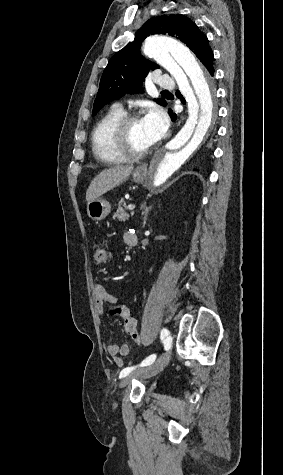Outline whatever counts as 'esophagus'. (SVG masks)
I'll use <instances>...</instances> for the list:
<instances>
[{"mask_svg":"<svg viewBox=\"0 0 283 475\" xmlns=\"http://www.w3.org/2000/svg\"><path fill=\"white\" fill-rule=\"evenodd\" d=\"M159 158V155H155L152 159V163H154L155 161H157V159Z\"/></svg>","mask_w":283,"mask_h":475,"instance_id":"34e87169","label":"esophagus"}]
</instances>
